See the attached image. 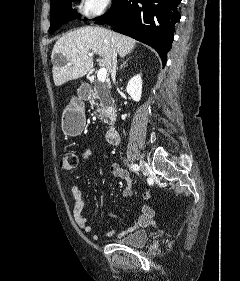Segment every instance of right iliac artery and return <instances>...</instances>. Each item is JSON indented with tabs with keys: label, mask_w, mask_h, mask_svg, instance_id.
<instances>
[{
	"label": "right iliac artery",
	"mask_w": 240,
	"mask_h": 281,
	"mask_svg": "<svg viewBox=\"0 0 240 281\" xmlns=\"http://www.w3.org/2000/svg\"><path fill=\"white\" fill-rule=\"evenodd\" d=\"M131 169L134 170V171H139L140 167L137 164H132Z\"/></svg>",
	"instance_id": "obj_1"
}]
</instances>
